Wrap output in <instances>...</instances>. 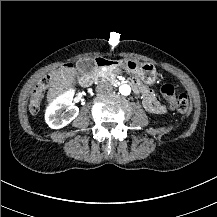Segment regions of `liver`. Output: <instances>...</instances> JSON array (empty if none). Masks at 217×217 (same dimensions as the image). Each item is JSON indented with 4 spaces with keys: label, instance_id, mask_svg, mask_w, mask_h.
<instances>
[{
    "label": "liver",
    "instance_id": "liver-1",
    "mask_svg": "<svg viewBox=\"0 0 217 217\" xmlns=\"http://www.w3.org/2000/svg\"><path fill=\"white\" fill-rule=\"evenodd\" d=\"M82 70L78 66H65L62 67L58 74L51 80V86L47 93V103L49 106L62 94L74 90L78 84V77Z\"/></svg>",
    "mask_w": 217,
    "mask_h": 217
}]
</instances>
